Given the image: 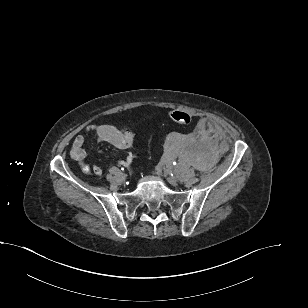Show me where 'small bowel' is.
Wrapping results in <instances>:
<instances>
[{
	"label": "small bowel",
	"mask_w": 308,
	"mask_h": 308,
	"mask_svg": "<svg viewBox=\"0 0 308 308\" xmlns=\"http://www.w3.org/2000/svg\"><path fill=\"white\" fill-rule=\"evenodd\" d=\"M86 134H93L99 140L110 143L120 150L128 149L132 146L134 135L133 132L126 128H118L110 124H92L89 125L86 130ZM86 137L83 134L77 135L72 144L70 151L71 157L81 164L83 171L89 172L90 167L84 163L86 152L84 150ZM136 155L129 153L124 159L119 161L122 166H129L135 160ZM92 172L96 176L102 174V168L98 165L92 167Z\"/></svg>",
	"instance_id": "1"
}]
</instances>
